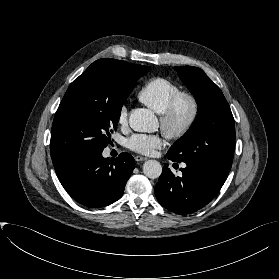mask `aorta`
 Instances as JSON below:
<instances>
[{
  "instance_id": "obj_1",
  "label": "aorta",
  "mask_w": 279,
  "mask_h": 279,
  "mask_svg": "<svg viewBox=\"0 0 279 279\" xmlns=\"http://www.w3.org/2000/svg\"><path fill=\"white\" fill-rule=\"evenodd\" d=\"M130 127L137 132H155L158 127V119L154 113L146 108L133 109L129 116ZM143 173L151 179L158 178L162 173V166L156 160H148L143 165Z\"/></svg>"
}]
</instances>
